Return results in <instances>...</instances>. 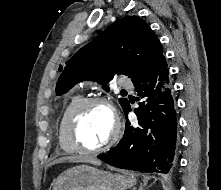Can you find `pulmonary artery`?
I'll use <instances>...</instances> for the list:
<instances>
[{"label": "pulmonary artery", "mask_w": 221, "mask_h": 190, "mask_svg": "<svg viewBox=\"0 0 221 190\" xmlns=\"http://www.w3.org/2000/svg\"><path fill=\"white\" fill-rule=\"evenodd\" d=\"M118 86L122 88H131L132 87V81L127 77H121L118 80Z\"/></svg>", "instance_id": "1"}]
</instances>
